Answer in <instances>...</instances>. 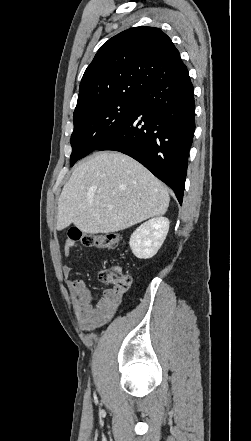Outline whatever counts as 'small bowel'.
<instances>
[{
  "label": "small bowel",
  "mask_w": 251,
  "mask_h": 441,
  "mask_svg": "<svg viewBox=\"0 0 251 441\" xmlns=\"http://www.w3.org/2000/svg\"><path fill=\"white\" fill-rule=\"evenodd\" d=\"M75 246V242L67 240L64 244V254L68 255ZM72 266H64L63 273L70 276L73 273ZM70 293L74 299V311L79 326L86 331L105 325L119 308L125 291L114 288L105 289L98 301L89 291L83 279H72L69 282Z\"/></svg>",
  "instance_id": "small-bowel-1"
}]
</instances>
